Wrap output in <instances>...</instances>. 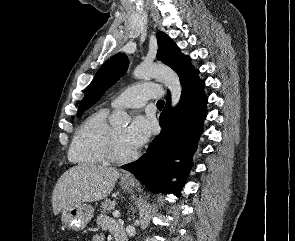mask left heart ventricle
<instances>
[{
  "label": "left heart ventricle",
  "mask_w": 295,
  "mask_h": 241,
  "mask_svg": "<svg viewBox=\"0 0 295 241\" xmlns=\"http://www.w3.org/2000/svg\"><path fill=\"white\" fill-rule=\"evenodd\" d=\"M113 131L116 137L117 149L119 153L126 155L135 151V149H133L125 140V126L114 127Z\"/></svg>",
  "instance_id": "left-heart-ventricle-1"
}]
</instances>
